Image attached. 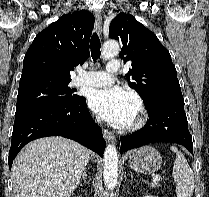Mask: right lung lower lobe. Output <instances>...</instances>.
I'll list each match as a JSON object with an SVG mask.
<instances>
[{
  "instance_id": "98d812e1",
  "label": "right lung lower lobe",
  "mask_w": 209,
  "mask_h": 197,
  "mask_svg": "<svg viewBox=\"0 0 209 197\" xmlns=\"http://www.w3.org/2000/svg\"><path fill=\"white\" fill-rule=\"evenodd\" d=\"M46 136H63L79 142L102 156L105 140L92 119L86 99L45 102L16 109L8 164L30 141Z\"/></svg>"
}]
</instances>
